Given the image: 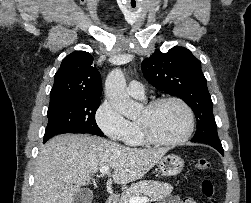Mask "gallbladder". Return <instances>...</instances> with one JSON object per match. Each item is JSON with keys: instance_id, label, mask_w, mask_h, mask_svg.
<instances>
[{"instance_id": "1", "label": "gallbladder", "mask_w": 251, "mask_h": 203, "mask_svg": "<svg viewBox=\"0 0 251 203\" xmlns=\"http://www.w3.org/2000/svg\"><path fill=\"white\" fill-rule=\"evenodd\" d=\"M93 193L91 190L84 188L77 193L74 203H92Z\"/></svg>"}]
</instances>
